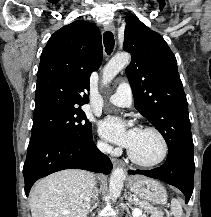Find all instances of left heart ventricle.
I'll return each instance as SVG.
<instances>
[{
    "instance_id": "1",
    "label": "left heart ventricle",
    "mask_w": 211,
    "mask_h": 217,
    "mask_svg": "<svg viewBox=\"0 0 211 217\" xmlns=\"http://www.w3.org/2000/svg\"><path fill=\"white\" fill-rule=\"evenodd\" d=\"M130 150L139 160L152 162L161 156L163 145L155 133L140 130Z\"/></svg>"
}]
</instances>
